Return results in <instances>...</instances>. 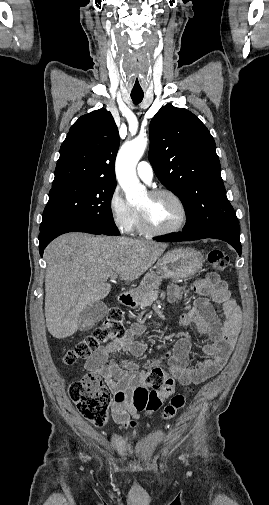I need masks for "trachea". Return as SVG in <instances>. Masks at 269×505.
<instances>
[{"label":"trachea","mask_w":269,"mask_h":505,"mask_svg":"<svg viewBox=\"0 0 269 505\" xmlns=\"http://www.w3.org/2000/svg\"><path fill=\"white\" fill-rule=\"evenodd\" d=\"M144 97L143 92H131V99L135 105H138Z\"/></svg>","instance_id":"1"}]
</instances>
